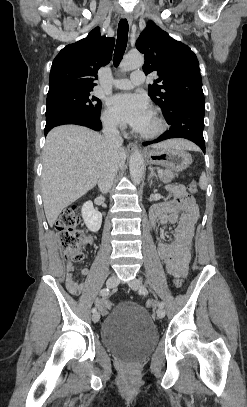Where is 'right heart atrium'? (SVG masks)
<instances>
[{"mask_svg": "<svg viewBox=\"0 0 247 407\" xmlns=\"http://www.w3.org/2000/svg\"><path fill=\"white\" fill-rule=\"evenodd\" d=\"M101 121L105 127L110 130H119L121 128V123L114 115V113L106 108L101 114Z\"/></svg>", "mask_w": 247, "mask_h": 407, "instance_id": "obj_1", "label": "right heart atrium"}]
</instances>
